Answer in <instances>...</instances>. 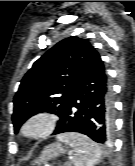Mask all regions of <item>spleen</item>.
I'll list each match as a JSON object with an SVG mask.
<instances>
[{
    "instance_id": "obj_1",
    "label": "spleen",
    "mask_w": 135,
    "mask_h": 166,
    "mask_svg": "<svg viewBox=\"0 0 135 166\" xmlns=\"http://www.w3.org/2000/svg\"><path fill=\"white\" fill-rule=\"evenodd\" d=\"M57 140L70 146L74 157L69 166H94L99 163L102 150L89 137L80 133H66L57 135Z\"/></svg>"
}]
</instances>
